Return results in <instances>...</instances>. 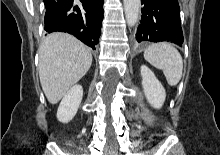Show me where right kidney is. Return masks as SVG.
<instances>
[{
	"label": "right kidney",
	"mask_w": 220,
	"mask_h": 155,
	"mask_svg": "<svg viewBox=\"0 0 220 155\" xmlns=\"http://www.w3.org/2000/svg\"><path fill=\"white\" fill-rule=\"evenodd\" d=\"M83 97L81 85H74L63 97L58 110L57 119L62 123L70 122L77 113Z\"/></svg>",
	"instance_id": "1"
}]
</instances>
